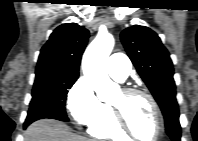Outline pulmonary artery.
Instances as JSON below:
<instances>
[{"label":"pulmonary artery","instance_id":"obj_1","mask_svg":"<svg viewBox=\"0 0 198 141\" xmlns=\"http://www.w3.org/2000/svg\"><path fill=\"white\" fill-rule=\"evenodd\" d=\"M130 69V61L123 53H114L107 61V71L115 80L124 81L128 77Z\"/></svg>","mask_w":198,"mask_h":141}]
</instances>
